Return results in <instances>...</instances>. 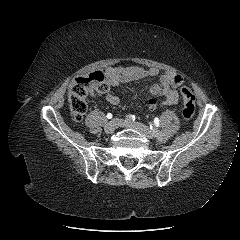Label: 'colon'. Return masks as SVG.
Returning <instances> with one entry per match:
<instances>
[{
  "instance_id": "1",
  "label": "colon",
  "mask_w": 240,
  "mask_h": 240,
  "mask_svg": "<svg viewBox=\"0 0 240 240\" xmlns=\"http://www.w3.org/2000/svg\"><path fill=\"white\" fill-rule=\"evenodd\" d=\"M108 74L105 71H94L88 75L77 77L70 85L68 101L71 116L75 121L82 120L87 111L86 97L89 93L103 92L106 90ZM182 115L185 120H191L195 114V96L192 91L183 87Z\"/></svg>"
}]
</instances>
